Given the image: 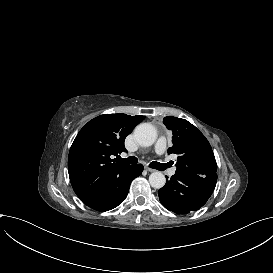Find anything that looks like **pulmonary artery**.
Returning a JSON list of instances; mask_svg holds the SVG:
<instances>
[{
    "label": "pulmonary artery",
    "mask_w": 273,
    "mask_h": 273,
    "mask_svg": "<svg viewBox=\"0 0 273 273\" xmlns=\"http://www.w3.org/2000/svg\"><path fill=\"white\" fill-rule=\"evenodd\" d=\"M169 144V141L165 137H161L158 139L157 143L154 146V149L156 152L162 154L160 156V159L163 161L162 165L165 167V170L167 171V175L169 177H172L174 175V171L172 170V166L170 165V162L167 159V156L163 154L165 152V147H167Z\"/></svg>",
    "instance_id": "1"
}]
</instances>
